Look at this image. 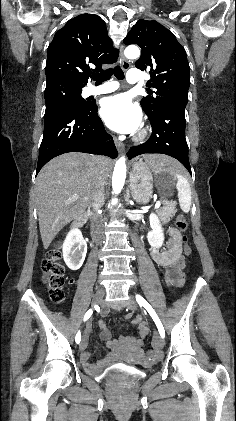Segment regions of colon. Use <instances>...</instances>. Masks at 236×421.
Returning <instances> with one entry per match:
<instances>
[{
  "instance_id": "colon-1",
  "label": "colon",
  "mask_w": 236,
  "mask_h": 421,
  "mask_svg": "<svg viewBox=\"0 0 236 421\" xmlns=\"http://www.w3.org/2000/svg\"><path fill=\"white\" fill-rule=\"evenodd\" d=\"M176 226L181 233L185 234L188 230V223L184 215H179L176 220ZM184 241V254L186 256L191 255L192 249L187 243V238L183 236ZM41 271L44 283L49 289L50 298L54 303H61L64 300V265L61 262V250L60 245L57 243L52 249H50L41 264ZM147 358L151 359L155 357V350L151 349L147 351Z\"/></svg>"
}]
</instances>
